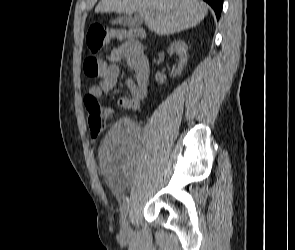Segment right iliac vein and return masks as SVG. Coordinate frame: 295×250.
<instances>
[{
	"instance_id": "1",
	"label": "right iliac vein",
	"mask_w": 295,
	"mask_h": 250,
	"mask_svg": "<svg viewBox=\"0 0 295 250\" xmlns=\"http://www.w3.org/2000/svg\"><path fill=\"white\" fill-rule=\"evenodd\" d=\"M120 235H121L122 239H124V240L128 239V237L130 235V227H129L128 220H125V222L122 224L121 230H120Z\"/></svg>"
}]
</instances>
